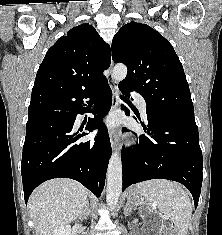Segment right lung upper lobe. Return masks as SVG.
Masks as SVG:
<instances>
[{"instance_id": "1", "label": "right lung upper lobe", "mask_w": 222, "mask_h": 235, "mask_svg": "<svg viewBox=\"0 0 222 235\" xmlns=\"http://www.w3.org/2000/svg\"><path fill=\"white\" fill-rule=\"evenodd\" d=\"M110 46L88 23L76 26L47 51L37 71L28 121L49 119L61 100L94 88L106 79Z\"/></svg>"}]
</instances>
